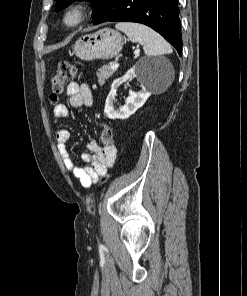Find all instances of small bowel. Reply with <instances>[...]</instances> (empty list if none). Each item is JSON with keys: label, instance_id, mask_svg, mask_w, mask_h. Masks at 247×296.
<instances>
[{"label": "small bowel", "instance_id": "obj_1", "mask_svg": "<svg viewBox=\"0 0 247 296\" xmlns=\"http://www.w3.org/2000/svg\"><path fill=\"white\" fill-rule=\"evenodd\" d=\"M66 95L71 107L78 108L92 104V94L86 84L70 82L66 88ZM53 117L56 122L61 119H69L70 111L65 104H57L53 108ZM69 139V130L61 128L57 131V148L64 166L72 177L79 180L83 187L89 188L97 182L100 176L106 174L107 167L113 165L116 156L115 147L102 148L97 141L89 142L87 151L82 154V159L87 165L78 166L68 151Z\"/></svg>", "mask_w": 247, "mask_h": 296}]
</instances>
